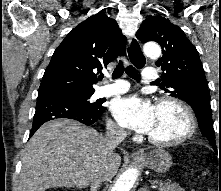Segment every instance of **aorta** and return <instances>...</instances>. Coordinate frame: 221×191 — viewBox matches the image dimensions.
Segmentation results:
<instances>
[{"mask_svg":"<svg viewBox=\"0 0 221 191\" xmlns=\"http://www.w3.org/2000/svg\"><path fill=\"white\" fill-rule=\"evenodd\" d=\"M144 53L150 59L156 60L161 55V49L158 44L150 42L144 45ZM138 170L130 168L126 170L115 182L111 191H130L136 182Z\"/></svg>","mask_w":221,"mask_h":191,"instance_id":"obj_1","label":"aorta"}]
</instances>
